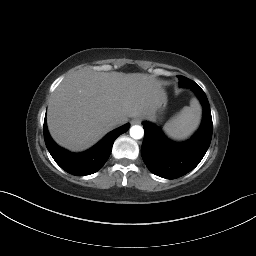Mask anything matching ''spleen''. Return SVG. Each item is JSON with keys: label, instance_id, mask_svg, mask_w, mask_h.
<instances>
[{"label": "spleen", "instance_id": "3e777b00", "mask_svg": "<svg viewBox=\"0 0 256 256\" xmlns=\"http://www.w3.org/2000/svg\"><path fill=\"white\" fill-rule=\"evenodd\" d=\"M200 118L201 106L196 99H192L190 106L184 107L175 119L166 123L164 131L173 139H185L198 127Z\"/></svg>", "mask_w": 256, "mask_h": 256}]
</instances>
